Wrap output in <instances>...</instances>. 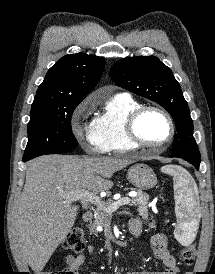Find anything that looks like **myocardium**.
Here are the masks:
<instances>
[{"label": "myocardium", "instance_id": "f54148a6", "mask_svg": "<svg viewBox=\"0 0 215 274\" xmlns=\"http://www.w3.org/2000/svg\"><path fill=\"white\" fill-rule=\"evenodd\" d=\"M148 111H156L162 114L168 121L170 132L168 137L160 143H149L143 140L137 130V125L140 118ZM125 131L128 139L138 147L158 149L169 144L175 136V123L172 116L163 108L155 105H140L134 109L126 118Z\"/></svg>", "mask_w": 215, "mask_h": 274}]
</instances>
